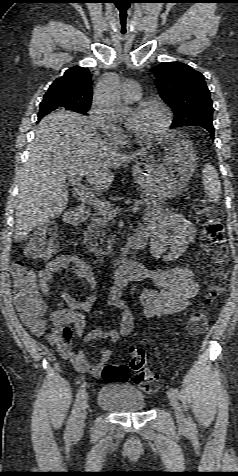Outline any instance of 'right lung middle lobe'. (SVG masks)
Segmentation results:
<instances>
[{
  "mask_svg": "<svg viewBox=\"0 0 238 476\" xmlns=\"http://www.w3.org/2000/svg\"><path fill=\"white\" fill-rule=\"evenodd\" d=\"M89 108L90 107L83 106V107H79L76 111L79 112V113H82V114H86V112L89 110ZM55 110L62 111L53 103L42 102L40 104V111H39L38 119H41L44 115H46V114H48L52 111H55Z\"/></svg>",
  "mask_w": 238,
  "mask_h": 476,
  "instance_id": "dd1d6c3e",
  "label": "right lung middle lobe"
}]
</instances>
